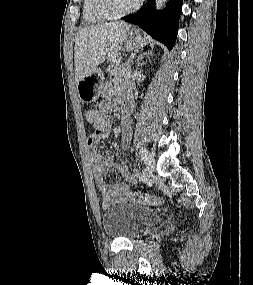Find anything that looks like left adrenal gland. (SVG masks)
<instances>
[{
    "mask_svg": "<svg viewBox=\"0 0 253 285\" xmlns=\"http://www.w3.org/2000/svg\"><path fill=\"white\" fill-rule=\"evenodd\" d=\"M150 54H151V52L148 51V52H143L142 54H140V55L138 56L136 70L139 69V67H140V65H141L142 59H143L145 56H149Z\"/></svg>",
    "mask_w": 253,
    "mask_h": 285,
    "instance_id": "a2214340",
    "label": "left adrenal gland"
}]
</instances>
